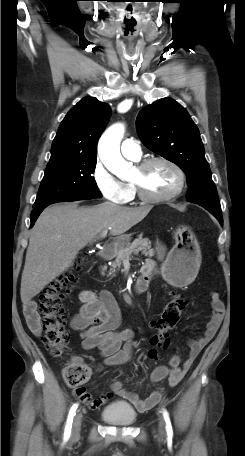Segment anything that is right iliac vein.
<instances>
[{"label": "right iliac vein", "instance_id": "obj_1", "mask_svg": "<svg viewBox=\"0 0 245 456\" xmlns=\"http://www.w3.org/2000/svg\"><path fill=\"white\" fill-rule=\"evenodd\" d=\"M81 420H82V415L78 413L73 421V426H72V439H77L80 434V429H81Z\"/></svg>", "mask_w": 245, "mask_h": 456}]
</instances>
